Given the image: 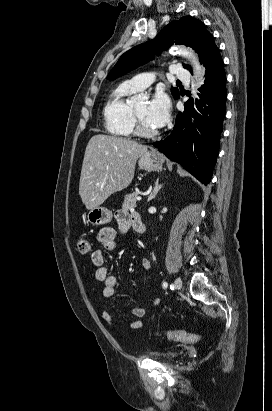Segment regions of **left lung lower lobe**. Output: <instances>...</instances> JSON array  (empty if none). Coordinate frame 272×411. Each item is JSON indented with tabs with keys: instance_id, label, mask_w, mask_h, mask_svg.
I'll use <instances>...</instances> for the list:
<instances>
[{
	"instance_id": "0a47b994",
	"label": "left lung lower lobe",
	"mask_w": 272,
	"mask_h": 411,
	"mask_svg": "<svg viewBox=\"0 0 272 411\" xmlns=\"http://www.w3.org/2000/svg\"><path fill=\"white\" fill-rule=\"evenodd\" d=\"M204 66L205 84L199 89V99L185 103L171 134L154 146L207 185L218 155L227 96L226 74L218 48Z\"/></svg>"
}]
</instances>
